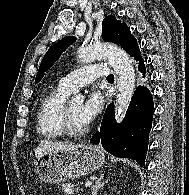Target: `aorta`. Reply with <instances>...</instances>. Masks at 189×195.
Segmentation results:
<instances>
[{"instance_id":"aorta-1","label":"aorta","mask_w":189,"mask_h":195,"mask_svg":"<svg viewBox=\"0 0 189 195\" xmlns=\"http://www.w3.org/2000/svg\"><path fill=\"white\" fill-rule=\"evenodd\" d=\"M77 58L81 63H91L96 59L106 58L119 78V93L115 110L117 120L125 116L135 89V71L127 53L111 44H97L80 48ZM84 97H72V103H83Z\"/></svg>"}]
</instances>
